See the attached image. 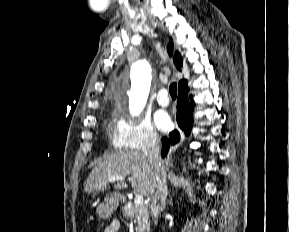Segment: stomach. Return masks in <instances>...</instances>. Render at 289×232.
I'll return each instance as SVG.
<instances>
[{
  "mask_svg": "<svg viewBox=\"0 0 289 232\" xmlns=\"http://www.w3.org/2000/svg\"><path fill=\"white\" fill-rule=\"evenodd\" d=\"M119 204V197L116 194H111L105 197L104 202L98 205L96 213L100 218H110L113 211Z\"/></svg>",
  "mask_w": 289,
  "mask_h": 232,
  "instance_id": "1",
  "label": "stomach"
}]
</instances>
